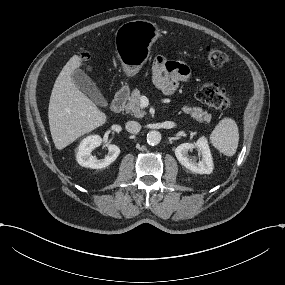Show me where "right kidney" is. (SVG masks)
Wrapping results in <instances>:
<instances>
[{
	"label": "right kidney",
	"mask_w": 285,
	"mask_h": 285,
	"mask_svg": "<svg viewBox=\"0 0 285 285\" xmlns=\"http://www.w3.org/2000/svg\"><path fill=\"white\" fill-rule=\"evenodd\" d=\"M102 138L99 135H90L84 138L76 153V160L79 165L92 169H100L110 165L120 154V149L116 145H108V155L101 160H98L95 156L91 155L94 148L100 146Z\"/></svg>",
	"instance_id": "right-kidney-1"
}]
</instances>
